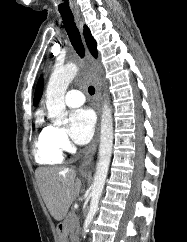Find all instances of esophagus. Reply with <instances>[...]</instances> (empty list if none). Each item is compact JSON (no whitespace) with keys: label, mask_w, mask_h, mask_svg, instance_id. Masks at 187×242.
<instances>
[{"label":"esophagus","mask_w":187,"mask_h":242,"mask_svg":"<svg viewBox=\"0 0 187 242\" xmlns=\"http://www.w3.org/2000/svg\"><path fill=\"white\" fill-rule=\"evenodd\" d=\"M76 21L78 22L80 28H82V23L80 19L79 13L75 14ZM87 64L88 67L92 73V76L94 78L95 87H96V98L98 100V117L100 118L101 115V106H102V95H101V65L100 63L92 57V55L87 52ZM99 141V124L96 129V133L94 136V139L89 146L88 150L85 153V156L83 157L81 164H80V171L81 172H88L91 168L92 161L94 154L96 152L97 146Z\"/></svg>","instance_id":"34e87169"}]
</instances>
